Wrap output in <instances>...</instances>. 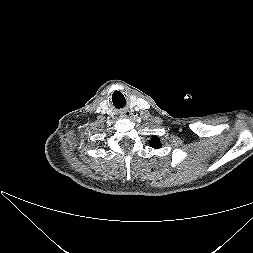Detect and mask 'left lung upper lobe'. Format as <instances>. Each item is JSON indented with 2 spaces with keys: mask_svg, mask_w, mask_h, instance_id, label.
Masks as SVG:
<instances>
[{
  "mask_svg": "<svg viewBox=\"0 0 253 253\" xmlns=\"http://www.w3.org/2000/svg\"><path fill=\"white\" fill-rule=\"evenodd\" d=\"M151 146L155 149H158L161 147V143L159 142L158 138L157 137H153L151 139Z\"/></svg>",
  "mask_w": 253,
  "mask_h": 253,
  "instance_id": "1",
  "label": "left lung upper lobe"
}]
</instances>
